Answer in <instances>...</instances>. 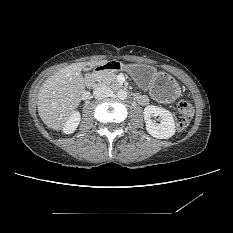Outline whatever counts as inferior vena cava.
<instances>
[{"label":"inferior vena cava","instance_id":"obj_1","mask_svg":"<svg viewBox=\"0 0 233 233\" xmlns=\"http://www.w3.org/2000/svg\"><path fill=\"white\" fill-rule=\"evenodd\" d=\"M93 95L96 99H104L112 95V90L108 86H99L94 89Z\"/></svg>","mask_w":233,"mask_h":233}]
</instances>
